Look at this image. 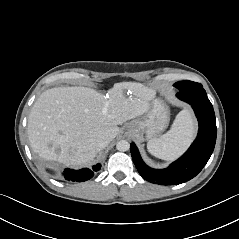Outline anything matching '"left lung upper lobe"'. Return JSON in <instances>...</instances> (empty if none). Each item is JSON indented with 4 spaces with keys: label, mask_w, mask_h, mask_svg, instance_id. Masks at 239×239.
Wrapping results in <instances>:
<instances>
[{
    "label": "left lung upper lobe",
    "mask_w": 239,
    "mask_h": 239,
    "mask_svg": "<svg viewBox=\"0 0 239 239\" xmlns=\"http://www.w3.org/2000/svg\"><path fill=\"white\" fill-rule=\"evenodd\" d=\"M174 86L179 89V91H187L192 88L202 87L201 84L193 81H179L174 84Z\"/></svg>",
    "instance_id": "obj_1"
}]
</instances>
